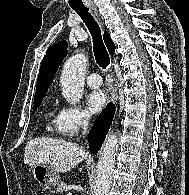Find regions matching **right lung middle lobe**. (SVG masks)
<instances>
[{"instance_id": "dd1d6c3e", "label": "right lung middle lobe", "mask_w": 189, "mask_h": 195, "mask_svg": "<svg viewBox=\"0 0 189 195\" xmlns=\"http://www.w3.org/2000/svg\"><path fill=\"white\" fill-rule=\"evenodd\" d=\"M41 100L38 101H34V108H33V112L36 111V108L39 106Z\"/></svg>"}]
</instances>
